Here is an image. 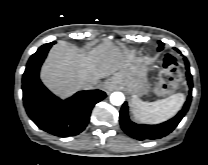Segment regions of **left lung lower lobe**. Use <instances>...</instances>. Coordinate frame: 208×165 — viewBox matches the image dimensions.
I'll use <instances>...</instances> for the list:
<instances>
[{
	"mask_svg": "<svg viewBox=\"0 0 208 165\" xmlns=\"http://www.w3.org/2000/svg\"><path fill=\"white\" fill-rule=\"evenodd\" d=\"M184 61H185L186 70H187L186 74H187V81L189 85V96L182 110L179 111V113L175 117H173L172 119L164 123H161L158 125H140V124H136L130 121L128 117V106H127V103L125 102L122 105V108L120 110L119 121H120V125L123 131L126 134L138 140H145V139L153 140V139H159L168 135L177 127L179 122L182 120V118L185 116L186 112L188 111L191 100H192V87H193L192 75L189 69V62L185 57H184Z\"/></svg>",
	"mask_w": 208,
	"mask_h": 165,
	"instance_id": "obj_1",
	"label": "left lung lower lobe"
}]
</instances>
